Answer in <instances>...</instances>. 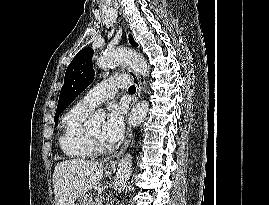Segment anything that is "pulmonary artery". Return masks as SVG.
<instances>
[{
    "instance_id": "pulmonary-artery-1",
    "label": "pulmonary artery",
    "mask_w": 269,
    "mask_h": 205,
    "mask_svg": "<svg viewBox=\"0 0 269 205\" xmlns=\"http://www.w3.org/2000/svg\"><path fill=\"white\" fill-rule=\"evenodd\" d=\"M129 84L130 78L127 75L108 78L92 88L78 105L91 111L101 102L112 98L119 88H126Z\"/></svg>"
}]
</instances>
